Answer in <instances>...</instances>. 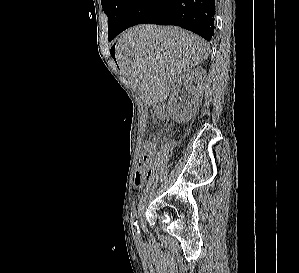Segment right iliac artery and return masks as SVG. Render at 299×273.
<instances>
[{"mask_svg":"<svg viewBox=\"0 0 299 273\" xmlns=\"http://www.w3.org/2000/svg\"><path fill=\"white\" fill-rule=\"evenodd\" d=\"M131 221H132V224H133V234L134 236H139V227H138V224H137V220H136V213L135 211H133L132 215H131Z\"/></svg>","mask_w":299,"mask_h":273,"instance_id":"obj_1","label":"right iliac artery"}]
</instances>
